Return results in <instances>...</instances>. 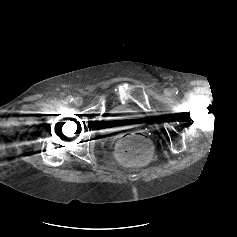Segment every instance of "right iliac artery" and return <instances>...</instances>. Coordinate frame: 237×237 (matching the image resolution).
<instances>
[{"mask_svg":"<svg viewBox=\"0 0 237 237\" xmlns=\"http://www.w3.org/2000/svg\"><path fill=\"white\" fill-rule=\"evenodd\" d=\"M66 100H67L68 102H72V101H73V97H72V96H68V97L66 98Z\"/></svg>","mask_w":237,"mask_h":237,"instance_id":"1","label":"right iliac artery"}]
</instances>
